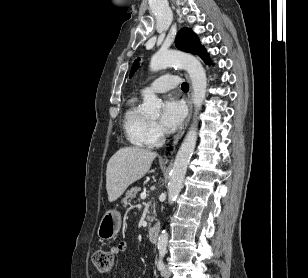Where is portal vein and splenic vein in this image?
I'll list each match as a JSON object with an SVG mask.
<instances>
[{"instance_id": "1", "label": "portal vein and splenic vein", "mask_w": 308, "mask_h": 278, "mask_svg": "<svg viewBox=\"0 0 308 278\" xmlns=\"http://www.w3.org/2000/svg\"><path fill=\"white\" fill-rule=\"evenodd\" d=\"M140 197H141L142 200H145V199H146V193H145V192H142V193L140 194Z\"/></svg>"}]
</instances>
